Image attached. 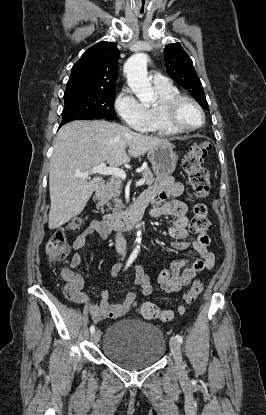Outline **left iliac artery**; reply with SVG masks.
<instances>
[{
	"label": "left iliac artery",
	"instance_id": "left-iliac-artery-1",
	"mask_svg": "<svg viewBox=\"0 0 266 415\" xmlns=\"http://www.w3.org/2000/svg\"><path fill=\"white\" fill-rule=\"evenodd\" d=\"M175 339H176L179 343H182V342H183L182 337H181L180 335H178V334L175 336Z\"/></svg>",
	"mask_w": 266,
	"mask_h": 415
}]
</instances>
